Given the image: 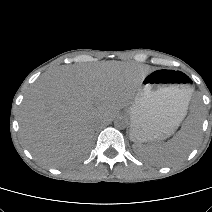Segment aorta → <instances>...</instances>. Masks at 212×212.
Returning a JSON list of instances; mask_svg holds the SVG:
<instances>
[{
	"label": "aorta",
	"mask_w": 212,
	"mask_h": 212,
	"mask_svg": "<svg viewBox=\"0 0 212 212\" xmlns=\"http://www.w3.org/2000/svg\"><path fill=\"white\" fill-rule=\"evenodd\" d=\"M128 125V120L126 117L124 116H118L115 120H114V126L117 129H124L126 128Z\"/></svg>",
	"instance_id": "762f6f07"
}]
</instances>
